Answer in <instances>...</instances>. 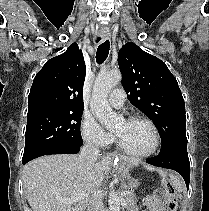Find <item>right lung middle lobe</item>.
<instances>
[{"instance_id": "1", "label": "right lung middle lobe", "mask_w": 209, "mask_h": 211, "mask_svg": "<svg viewBox=\"0 0 209 211\" xmlns=\"http://www.w3.org/2000/svg\"><path fill=\"white\" fill-rule=\"evenodd\" d=\"M83 110H43L27 114L22 160L58 145H82L80 123Z\"/></svg>"}]
</instances>
